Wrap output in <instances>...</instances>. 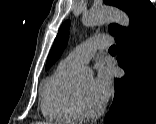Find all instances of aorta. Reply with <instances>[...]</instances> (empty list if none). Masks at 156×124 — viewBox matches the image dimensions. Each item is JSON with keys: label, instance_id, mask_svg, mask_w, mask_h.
I'll list each match as a JSON object with an SVG mask.
<instances>
[{"label": "aorta", "instance_id": "aorta-1", "mask_svg": "<svg viewBox=\"0 0 156 124\" xmlns=\"http://www.w3.org/2000/svg\"><path fill=\"white\" fill-rule=\"evenodd\" d=\"M106 22H114L123 27H129L130 19L122 10L103 7L100 9H91L83 16V23L87 26H94ZM90 69H82L81 74L90 73Z\"/></svg>", "mask_w": 156, "mask_h": 124}]
</instances>
